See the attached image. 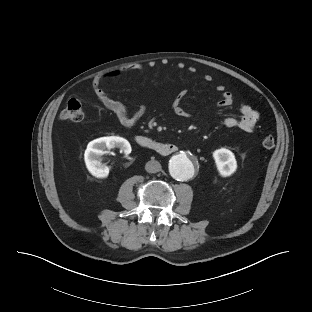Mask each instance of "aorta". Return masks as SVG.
Masks as SVG:
<instances>
[{
	"label": "aorta",
	"instance_id": "762f6f07",
	"mask_svg": "<svg viewBox=\"0 0 312 312\" xmlns=\"http://www.w3.org/2000/svg\"><path fill=\"white\" fill-rule=\"evenodd\" d=\"M196 167V161L185 154L176 155L169 162V172L178 181H185L192 178L195 174Z\"/></svg>",
	"mask_w": 312,
	"mask_h": 312
}]
</instances>
